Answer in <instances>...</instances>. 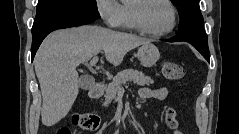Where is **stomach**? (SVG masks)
<instances>
[{"mask_svg": "<svg viewBox=\"0 0 239 134\" xmlns=\"http://www.w3.org/2000/svg\"><path fill=\"white\" fill-rule=\"evenodd\" d=\"M137 57L144 67L150 68L159 60L160 52L154 44L149 42L138 49Z\"/></svg>", "mask_w": 239, "mask_h": 134, "instance_id": "stomach-1", "label": "stomach"}]
</instances>
